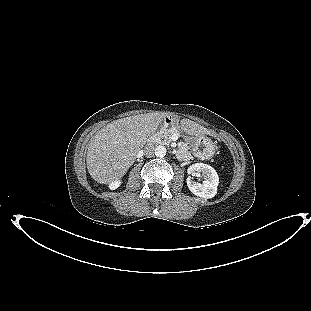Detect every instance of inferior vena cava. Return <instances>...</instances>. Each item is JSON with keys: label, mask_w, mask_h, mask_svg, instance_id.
Masks as SVG:
<instances>
[{"label": "inferior vena cava", "mask_w": 311, "mask_h": 311, "mask_svg": "<svg viewBox=\"0 0 311 311\" xmlns=\"http://www.w3.org/2000/svg\"><path fill=\"white\" fill-rule=\"evenodd\" d=\"M144 154L146 157H152L154 155V145L152 143L146 144Z\"/></svg>", "instance_id": "1"}]
</instances>
